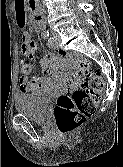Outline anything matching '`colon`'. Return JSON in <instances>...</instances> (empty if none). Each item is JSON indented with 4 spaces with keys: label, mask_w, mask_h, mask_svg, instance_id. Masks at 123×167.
<instances>
[{
    "label": "colon",
    "mask_w": 123,
    "mask_h": 167,
    "mask_svg": "<svg viewBox=\"0 0 123 167\" xmlns=\"http://www.w3.org/2000/svg\"><path fill=\"white\" fill-rule=\"evenodd\" d=\"M64 54V52L62 51ZM77 60L78 72L76 87L71 93L62 94L57 101L55 121L62 134H68L79 128L90 117L100 100L104 81L100 74L94 72L90 62L73 56ZM28 61H22L21 71L26 72Z\"/></svg>",
    "instance_id": "colon-1"
}]
</instances>
